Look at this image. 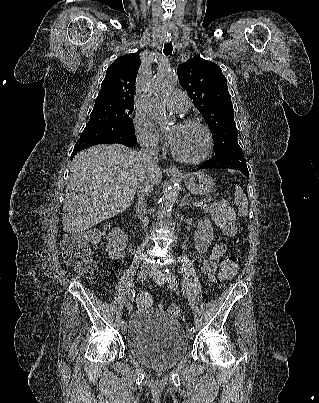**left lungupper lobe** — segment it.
Masks as SVG:
<instances>
[{
	"instance_id": "obj_1",
	"label": "left lung upper lobe",
	"mask_w": 319,
	"mask_h": 403,
	"mask_svg": "<svg viewBox=\"0 0 319 403\" xmlns=\"http://www.w3.org/2000/svg\"><path fill=\"white\" fill-rule=\"evenodd\" d=\"M177 74L180 85L210 127L215 155L240 147L227 80L221 68L201 57H193L179 65Z\"/></svg>"
}]
</instances>
